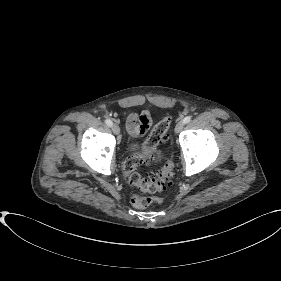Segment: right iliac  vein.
I'll return each mask as SVG.
<instances>
[{"instance_id":"right-iliac-vein-1","label":"right iliac vein","mask_w":281,"mask_h":281,"mask_svg":"<svg viewBox=\"0 0 281 281\" xmlns=\"http://www.w3.org/2000/svg\"><path fill=\"white\" fill-rule=\"evenodd\" d=\"M112 131L114 132V134L118 135L120 133V128L117 124H113L112 125Z\"/></svg>"}]
</instances>
